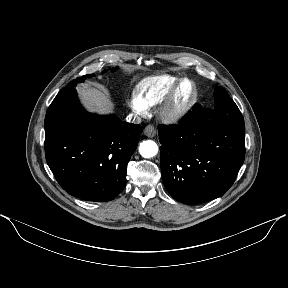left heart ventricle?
Returning a JSON list of instances; mask_svg holds the SVG:
<instances>
[{
    "label": "left heart ventricle",
    "mask_w": 288,
    "mask_h": 288,
    "mask_svg": "<svg viewBox=\"0 0 288 288\" xmlns=\"http://www.w3.org/2000/svg\"><path fill=\"white\" fill-rule=\"evenodd\" d=\"M189 86L188 85H185L181 91V97L184 98L186 97L188 94H189Z\"/></svg>",
    "instance_id": "left-heart-ventricle-1"
}]
</instances>
